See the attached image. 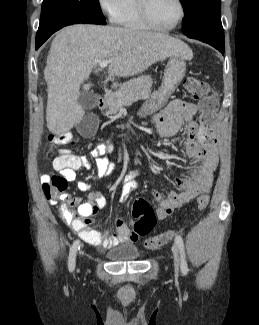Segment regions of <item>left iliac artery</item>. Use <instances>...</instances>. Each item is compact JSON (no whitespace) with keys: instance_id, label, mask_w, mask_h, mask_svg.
Returning <instances> with one entry per match:
<instances>
[{"instance_id":"44dca946","label":"left iliac artery","mask_w":259,"mask_h":325,"mask_svg":"<svg viewBox=\"0 0 259 325\" xmlns=\"http://www.w3.org/2000/svg\"><path fill=\"white\" fill-rule=\"evenodd\" d=\"M175 241L178 245L180 251V261H181V272L183 275H186L188 272V266L185 257V250H184V241L180 235H177Z\"/></svg>"}]
</instances>
